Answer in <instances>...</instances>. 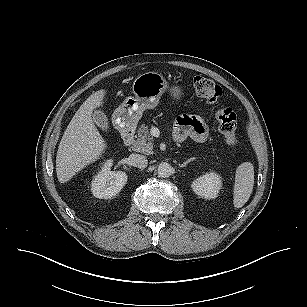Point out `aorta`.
<instances>
[{
    "instance_id": "obj_1",
    "label": "aorta",
    "mask_w": 307,
    "mask_h": 307,
    "mask_svg": "<svg viewBox=\"0 0 307 307\" xmlns=\"http://www.w3.org/2000/svg\"><path fill=\"white\" fill-rule=\"evenodd\" d=\"M158 175L159 177H169L172 172H173V168L171 167V165L169 163L166 162H162L158 165Z\"/></svg>"
}]
</instances>
